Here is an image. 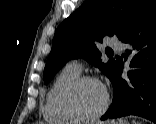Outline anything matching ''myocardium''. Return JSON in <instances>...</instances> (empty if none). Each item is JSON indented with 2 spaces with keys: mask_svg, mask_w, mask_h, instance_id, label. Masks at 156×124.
<instances>
[{
  "mask_svg": "<svg viewBox=\"0 0 156 124\" xmlns=\"http://www.w3.org/2000/svg\"><path fill=\"white\" fill-rule=\"evenodd\" d=\"M85 82H95L103 87V85L97 78L89 75H80L63 88L58 99V104L61 111L73 121L80 123L92 122L99 119L107 111L110 104L109 92L105 87H103L105 92V100L102 107L96 113L89 116H84L81 115L76 109H74V107L71 104L72 94L81 84Z\"/></svg>",
  "mask_w": 156,
  "mask_h": 124,
  "instance_id": "1",
  "label": "myocardium"
}]
</instances>
